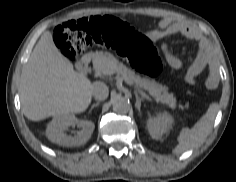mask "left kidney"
Returning <instances> with one entry per match:
<instances>
[{"label": "left kidney", "instance_id": "left-kidney-1", "mask_svg": "<svg viewBox=\"0 0 236 182\" xmlns=\"http://www.w3.org/2000/svg\"><path fill=\"white\" fill-rule=\"evenodd\" d=\"M174 118L167 112L159 113L156 117H149L147 120V128L153 139H161L173 125Z\"/></svg>", "mask_w": 236, "mask_h": 182}]
</instances>
